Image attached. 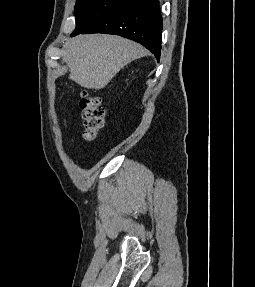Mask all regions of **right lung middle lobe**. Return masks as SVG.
Instances as JSON below:
<instances>
[{"instance_id":"obj_1","label":"right lung middle lobe","mask_w":255,"mask_h":287,"mask_svg":"<svg viewBox=\"0 0 255 287\" xmlns=\"http://www.w3.org/2000/svg\"><path fill=\"white\" fill-rule=\"evenodd\" d=\"M127 3H130V0H76L74 12L76 28L72 34L86 30L92 24Z\"/></svg>"}]
</instances>
